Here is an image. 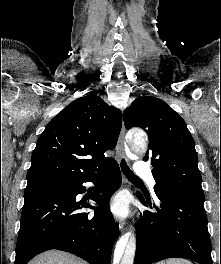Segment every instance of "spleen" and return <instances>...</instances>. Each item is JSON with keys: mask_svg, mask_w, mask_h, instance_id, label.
<instances>
[{"mask_svg": "<svg viewBox=\"0 0 221 264\" xmlns=\"http://www.w3.org/2000/svg\"><path fill=\"white\" fill-rule=\"evenodd\" d=\"M156 264H192L190 261L181 258H171L157 262Z\"/></svg>", "mask_w": 221, "mask_h": 264, "instance_id": "1", "label": "spleen"}]
</instances>
